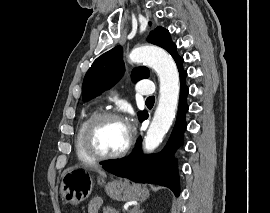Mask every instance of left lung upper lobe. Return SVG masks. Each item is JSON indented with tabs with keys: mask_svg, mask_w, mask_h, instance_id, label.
I'll return each mask as SVG.
<instances>
[{
	"mask_svg": "<svg viewBox=\"0 0 270 213\" xmlns=\"http://www.w3.org/2000/svg\"><path fill=\"white\" fill-rule=\"evenodd\" d=\"M148 41L167 50L174 58L179 72L183 70V59L177 54L176 45L172 42L168 30L157 27L150 34ZM122 54V47L116 46L94 61L84 78L83 98L85 101L99 95L104 90L110 89L122 77L124 73ZM149 76L150 72L146 67H138L132 71V80L134 82ZM138 115L142 120L147 115V112L141 111Z\"/></svg>",
	"mask_w": 270,
	"mask_h": 213,
	"instance_id": "left-lung-upper-lobe-1",
	"label": "left lung upper lobe"
}]
</instances>
